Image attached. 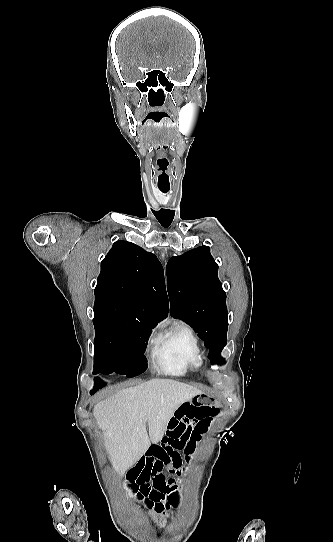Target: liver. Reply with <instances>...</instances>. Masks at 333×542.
I'll use <instances>...</instances> for the list:
<instances>
[{
  "mask_svg": "<svg viewBox=\"0 0 333 542\" xmlns=\"http://www.w3.org/2000/svg\"><path fill=\"white\" fill-rule=\"evenodd\" d=\"M200 394L204 392L189 384L155 378L134 388L120 390L104 402H98L93 414L103 432L105 450L113 470L124 476L151 444L162 440L177 408Z\"/></svg>",
  "mask_w": 333,
  "mask_h": 542,
  "instance_id": "1",
  "label": "liver"
}]
</instances>
